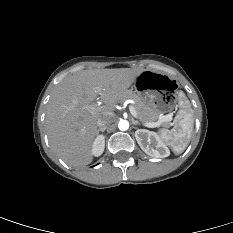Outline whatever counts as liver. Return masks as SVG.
Listing matches in <instances>:
<instances>
[{
  "mask_svg": "<svg viewBox=\"0 0 233 233\" xmlns=\"http://www.w3.org/2000/svg\"><path fill=\"white\" fill-rule=\"evenodd\" d=\"M142 71L140 68L84 70L65 77L55 87L47 104L45 123L50 145L63 161L73 166L92 162L98 119L107 115L114 118L115 104L126 97L128 88ZM98 95L103 105L91 112Z\"/></svg>",
  "mask_w": 233,
  "mask_h": 233,
  "instance_id": "obj_1",
  "label": "liver"
}]
</instances>
